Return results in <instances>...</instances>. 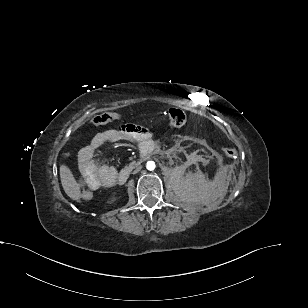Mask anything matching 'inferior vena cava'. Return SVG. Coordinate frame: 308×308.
<instances>
[{"mask_svg":"<svg viewBox=\"0 0 308 308\" xmlns=\"http://www.w3.org/2000/svg\"><path fill=\"white\" fill-rule=\"evenodd\" d=\"M140 169H141V168H136V169L134 170V173L139 172V171H140Z\"/></svg>","mask_w":308,"mask_h":308,"instance_id":"inferior-vena-cava-1","label":"inferior vena cava"}]
</instances>
